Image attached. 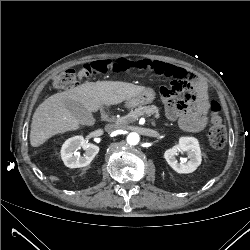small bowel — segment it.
<instances>
[{
    "label": "small bowel",
    "mask_w": 250,
    "mask_h": 250,
    "mask_svg": "<svg viewBox=\"0 0 250 250\" xmlns=\"http://www.w3.org/2000/svg\"><path fill=\"white\" fill-rule=\"evenodd\" d=\"M133 65L140 70H147L157 74L183 80L182 90H193L196 92V99L188 103L181 98L175 100L172 97L171 88L164 87L162 95L164 97L165 114L169 120H178L180 126L190 132H200L208 125V95L206 83L197 77L191 81L187 78L192 72L171 63L141 58ZM83 78V73L79 74Z\"/></svg>",
    "instance_id": "obj_1"
}]
</instances>
